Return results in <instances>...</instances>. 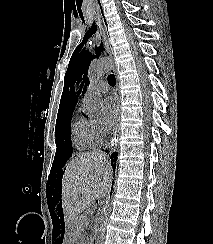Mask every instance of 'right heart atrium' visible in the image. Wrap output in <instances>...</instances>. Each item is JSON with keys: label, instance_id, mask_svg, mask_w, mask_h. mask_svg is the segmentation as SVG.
I'll use <instances>...</instances> for the list:
<instances>
[{"label": "right heart atrium", "instance_id": "d8ad5b80", "mask_svg": "<svg viewBox=\"0 0 213 244\" xmlns=\"http://www.w3.org/2000/svg\"><path fill=\"white\" fill-rule=\"evenodd\" d=\"M90 122H91L92 130H93L96 140L98 142L101 141L106 133V129H105L103 123L98 119L90 120Z\"/></svg>", "mask_w": 213, "mask_h": 244}]
</instances>
